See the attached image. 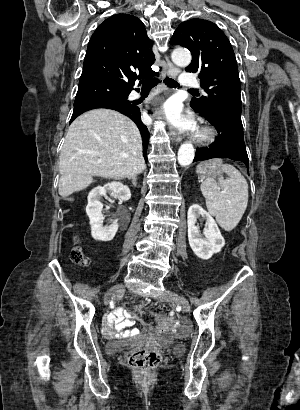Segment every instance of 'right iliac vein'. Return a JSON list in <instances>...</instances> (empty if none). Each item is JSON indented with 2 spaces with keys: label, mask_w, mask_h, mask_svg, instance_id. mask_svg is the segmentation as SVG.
<instances>
[{
  "label": "right iliac vein",
  "mask_w": 300,
  "mask_h": 410,
  "mask_svg": "<svg viewBox=\"0 0 300 410\" xmlns=\"http://www.w3.org/2000/svg\"><path fill=\"white\" fill-rule=\"evenodd\" d=\"M124 289H125V287H124L123 284H118V285L114 286L106 294L105 300L108 301V299H110V297H116V296L120 295L124 291Z\"/></svg>",
  "instance_id": "63e3f726"
}]
</instances>
